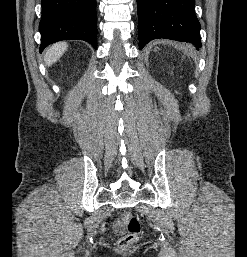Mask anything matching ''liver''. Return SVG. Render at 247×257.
<instances>
[{
	"mask_svg": "<svg viewBox=\"0 0 247 257\" xmlns=\"http://www.w3.org/2000/svg\"><path fill=\"white\" fill-rule=\"evenodd\" d=\"M67 43L61 42L50 46V48L46 51L44 61L46 66H51L55 63L67 50Z\"/></svg>",
	"mask_w": 247,
	"mask_h": 257,
	"instance_id": "liver-1",
	"label": "liver"
}]
</instances>
